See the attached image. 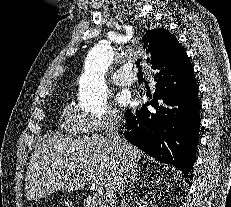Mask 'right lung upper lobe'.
<instances>
[{
	"label": "right lung upper lobe",
	"instance_id": "1",
	"mask_svg": "<svg viewBox=\"0 0 231 207\" xmlns=\"http://www.w3.org/2000/svg\"><path fill=\"white\" fill-rule=\"evenodd\" d=\"M143 40L147 51L151 54L149 60L152 65L159 62L165 65H178L189 61L185 49L166 29H153L151 36Z\"/></svg>",
	"mask_w": 231,
	"mask_h": 207
}]
</instances>
